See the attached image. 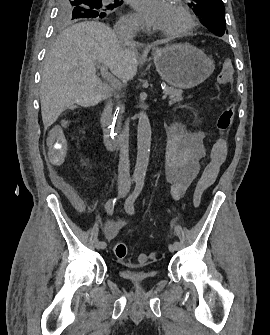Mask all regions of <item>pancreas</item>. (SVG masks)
Instances as JSON below:
<instances>
[{
	"label": "pancreas",
	"instance_id": "obj_1",
	"mask_svg": "<svg viewBox=\"0 0 270 335\" xmlns=\"http://www.w3.org/2000/svg\"><path fill=\"white\" fill-rule=\"evenodd\" d=\"M165 93L169 96V106H173L176 102L183 100L182 90H174V88H165Z\"/></svg>",
	"mask_w": 270,
	"mask_h": 335
}]
</instances>
